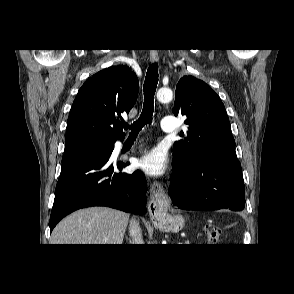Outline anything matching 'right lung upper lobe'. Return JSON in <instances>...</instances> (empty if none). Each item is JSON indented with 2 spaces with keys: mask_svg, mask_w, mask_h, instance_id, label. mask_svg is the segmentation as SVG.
Here are the masks:
<instances>
[{
  "mask_svg": "<svg viewBox=\"0 0 294 294\" xmlns=\"http://www.w3.org/2000/svg\"><path fill=\"white\" fill-rule=\"evenodd\" d=\"M138 96V79L127 66H111L80 88L67 121L65 143L79 140L115 142L123 139L122 113H129Z\"/></svg>",
  "mask_w": 294,
  "mask_h": 294,
  "instance_id": "1",
  "label": "right lung upper lobe"
}]
</instances>
